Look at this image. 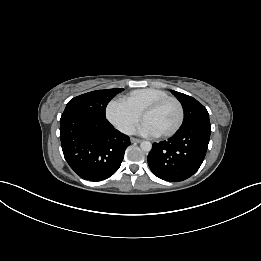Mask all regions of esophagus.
Segmentation results:
<instances>
[{"instance_id": "esophagus-1", "label": "esophagus", "mask_w": 261, "mask_h": 261, "mask_svg": "<svg viewBox=\"0 0 261 261\" xmlns=\"http://www.w3.org/2000/svg\"><path fill=\"white\" fill-rule=\"evenodd\" d=\"M130 141H131L132 143H140V142H141V139L132 137V138L130 139Z\"/></svg>"}]
</instances>
